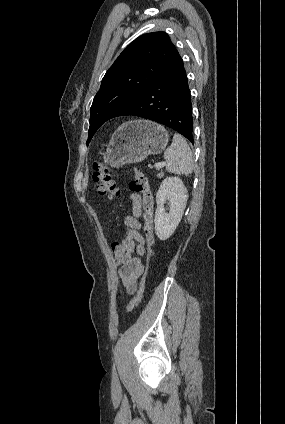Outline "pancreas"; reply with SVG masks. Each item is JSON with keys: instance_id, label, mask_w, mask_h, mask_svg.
<instances>
[{"instance_id": "pancreas-1", "label": "pancreas", "mask_w": 285, "mask_h": 424, "mask_svg": "<svg viewBox=\"0 0 285 424\" xmlns=\"http://www.w3.org/2000/svg\"><path fill=\"white\" fill-rule=\"evenodd\" d=\"M157 176H158L159 178H161V177L163 176V173H159Z\"/></svg>"}]
</instances>
